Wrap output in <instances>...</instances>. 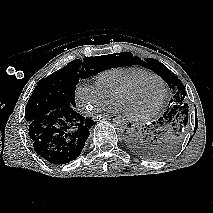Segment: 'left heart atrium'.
Returning a JSON list of instances; mask_svg holds the SVG:
<instances>
[{"label":"left heart atrium","instance_id":"left-heart-atrium-1","mask_svg":"<svg viewBox=\"0 0 213 213\" xmlns=\"http://www.w3.org/2000/svg\"><path fill=\"white\" fill-rule=\"evenodd\" d=\"M112 109H113L114 111L127 114V113L125 112L124 108H123L121 105H119L117 102H115V103L113 104Z\"/></svg>","mask_w":213,"mask_h":213}]
</instances>
